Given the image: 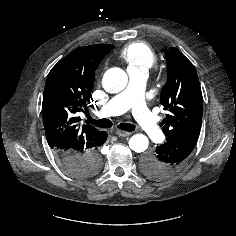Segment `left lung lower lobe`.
Instances as JSON below:
<instances>
[{"mask_svg": "<svg viewBox=\"0 0 236 236\" xmlns=\"http://www.w3.org/2000/svg\"><path fill=\"white\" fill-rule=\"evenodd\" d=\"M198 135H183L158 146L141 160V169L148 177L165 179L176 174L186 163Z\"/></svg>", "mask_w": 236, "mask_h": 236, "instance_id": "0a47b994", "label": "left lung lower lobe"}]
</instances>
